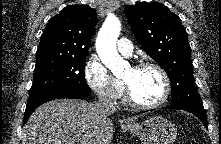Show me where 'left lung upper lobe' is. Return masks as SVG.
Masks as SVG:
<instances>
[{"mask_svg":"<svg viewBox=\"0 0 221 144\" xmlns=\"http://www.w3.org/2000/svg\"><path fill=\"white\" fill-rule=\"evenodd\" d=\"M125 13L142 48L169 76L171 104L203 108L194 84L187 32L180 18L159 2L129 5Z\"/></svg>","mask_w":221,"mask_h":144,"instance_id":"5c2ea615","label":"left lung upper lobe"}]
</instances>
